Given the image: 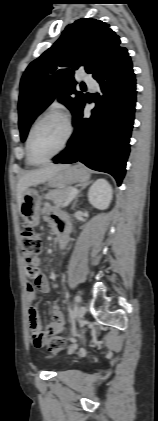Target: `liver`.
Here are the masks:
<instances>
[{"instance_id": "6515ba94", "label": "liver", "mask_w": 158, "mask_h": 421, "mask_svg": "<svg viewBox=\"0 0 158 421\" xmlns=\"http://www.w3.org/2000/svg\"><path fill=\"white\" fill-rule=\"evenodd\" d=\"M65 164H49L41 169L32 170L24 174L17 184V203L20 208L24 192L31 186L48 181L56 172L66 167Z\"/></svg>"}]
</instances>
